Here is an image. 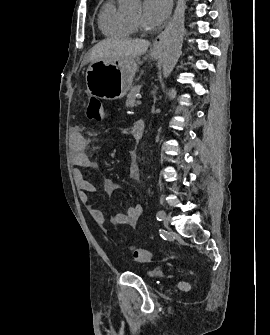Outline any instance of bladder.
<instances>
[{
	"mask_svg": "<svg viewBox=\"0 0 270 335\" xmlns=\"http://www.w3.org/2000/svg\"><path fill=\"white\" fill-rule=\"evenodd\" d=\"M143 276L149 280L156 281V274L155 273H143Z\"/></svg>",
	"mask_w": 270,
	"mask_h": 335,
	"instance_id": "31cf9c89",
	"label": "bladder"
}]
</instances>
